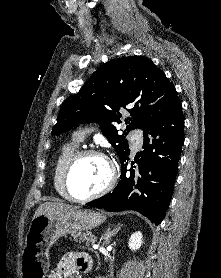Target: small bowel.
<instances>
[{"instance_id": "1", "label": "small bowel", "mask_w": 221, "mask_h": 278, "mask_svg": "<svg viewBox=\"0 0 221 278\" xmlns=\"http://www.w3.org/2000/svg\"><path fill=\"white\" fill-rule=\"evenodd\" d=\"M92 266V258L85 253L69 252L62 256L47 278H73L78 270L87 271Z\"/></svg>"}]
</instances>
